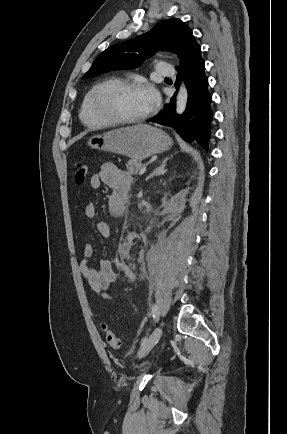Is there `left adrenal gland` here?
Wrapping results in <instances>:
<instances>
[{
    "label": "left adrenal gland",
    "mask_w": 287,
    "mask_h": 434,
    "mask_svg": "<svg viewBox=\"0 0 287 434\" xmlns=\"http://www.w3.org/2000/svg\"><path fill=\"white\" fill-rule=\"evenodd\" d=\"M168 157H166L163 161H162V163H161V165L158 167V168H156L155 170H153V172L146 178V180L148 181L149 179H151V178H153V177H155V176H160V175H162V174H164V172H165V167H166V163H167V161H168Z\"/></svg>",
    "instance_id": "obj_1"
}]
</instances>
